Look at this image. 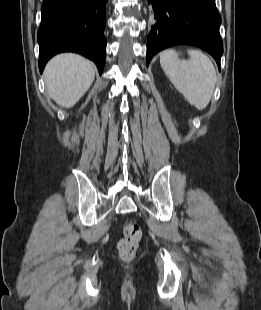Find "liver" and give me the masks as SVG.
Here are the masks:
<instances>
[{
  "mask_svg": "<svg viewBox=\"0 0 261 310\" xmlns=\"http://www.w3.org/2000/svg\"><path fill=\"white\" fill-rule=\"evenodd\" d=\"M91 61L77 54H61L46 65L44 79L49 96L60 106L73 107L94 81Z\"/></svg>",
  "mask_w": 261,
  "mask_h": 310,
  "instance_id": "obj_1",
  "label": "liver"
}]
</instances>
